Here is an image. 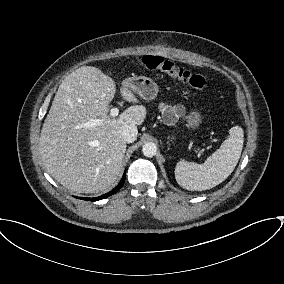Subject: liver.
Here are the masks:
<instances>
[{
  "label": "liver",
  "instance_id": "1",
  "mask_svg": "<svg viewBox=\"0 0 284 284\" xmlns=\"http://www.w3.org/2000/svg\"><path fill=\"white\" fill-rule=\"evenodd\" d=\"M116 85L112 78L92 66H82L60 84L44 121L39 150L47 172L64 187L77 193L107 192L123 170L126 125H140L147 111L143 105L129 107L117 118L108 115ZM120 94L138 103L122 84ZM99 120V124L91 125Z\"/></svg>",
  "mask_w": 284,
  "mask_h": 284
}]
</instances>
